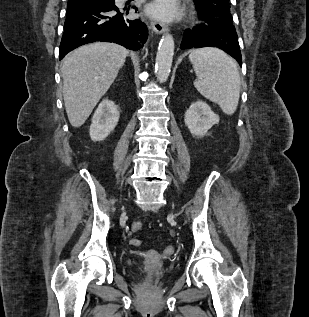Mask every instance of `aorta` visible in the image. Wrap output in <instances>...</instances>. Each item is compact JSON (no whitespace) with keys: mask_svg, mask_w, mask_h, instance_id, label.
<instances>
[{"mask_svg":"<svg viewBox=\"0 0 309 317\" xmlns=\"http://www.w3.org/2000/svg\"><path fill=\"white\" fill-rule=\"evenodd\" d=\"M173 54L174 39L171 34L167 33L162 37L156 55L155 73L160 83L166 82L169 77Z\"/></svg>","mask_w":309,"mask_h":317,"instance_id":"aorta-1","label":"aorta"}]
</instances>
